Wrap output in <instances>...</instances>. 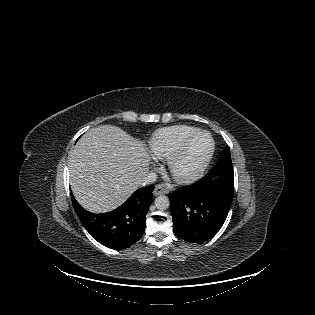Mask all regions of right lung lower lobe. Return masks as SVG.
Returning <instances> with one entry per match:
<instances>
[{"instance_id":"right-lung-lower-lobe-1","label":"right lung lower lobe","mask_w":315,"mask_h":315,"mask_svg":"<svg viewBox=\"0 0 315 315\" xmlns=\"http://www.w3.org/2000/svg\"><path fill=\"white\" fill-rule=\"evenodd\" d=\"M150 185L135 191L117 209L103 214H93L82 208L72 197L73 207L90 235L111 249H124L137 242L145 232L146 213L153 200Z\"/></svg>"}]
</instances>
